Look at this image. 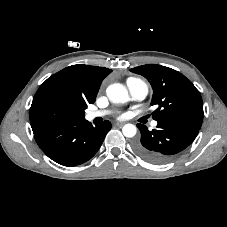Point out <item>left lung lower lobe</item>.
I'll return each instance as SVG.
<instances>
[{"label": "left lung lower lobe", "mask_w": 227, "mask_h": 227, "mask_svg": "<svg viewBox=\"0 0 227 227\" xmlns=\"http://www.w3.org/2000/svg\"><path fill=\"white\" fill-rule=\"evenodd\" d=\"M141 139L133 145L143 159L163 164L187 148L196 138L199 128L180 122H158L157 129L149 131L143 124H137Z\"/></svg>", "instance_id": "obj_1"}]
</instances>
